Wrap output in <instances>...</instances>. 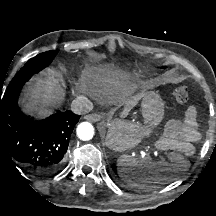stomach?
I'll return each instance as SVG.
<instances>
[{
	"label": "stomach",
	"instance_id": "1",
	"mask_svg": "<svg viewBox=\"0 0 216 216\" xmlns=\"http://www.w3.org/2000/svg\"><path fill=\"white\" fill-rule=\"evenodd\" d=\"M141 111L144 125L114 121L107 125L106 145L116 151L134 148L143 137L148 136L156 128L164 116V103L153 91H147L141 97Z\"/></svg>",
	"mask_w": 216,
	"mask_h": 216
}]
</instances>
